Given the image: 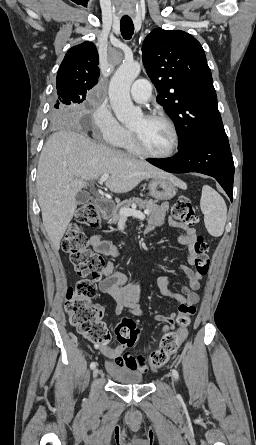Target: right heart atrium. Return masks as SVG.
<instances>
[{"label": "right heart atrium", "mask_w": 256, "mask_h": 445, "mask_svg": "<svg viewBox=\"0 0 256 445\" xmlns=\"http://www.w3.org/2000/svg\"><path fill=\"white\" fill-rule=\"evenodd\" d=\"M92 124L94 134L106 144L118 145L127 134V130L104 101L96 104L92 114Z\"/></svg>", "instance_id": "d8ad5b80"}]
</instances>
